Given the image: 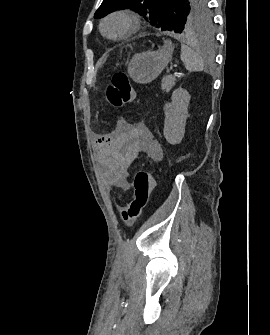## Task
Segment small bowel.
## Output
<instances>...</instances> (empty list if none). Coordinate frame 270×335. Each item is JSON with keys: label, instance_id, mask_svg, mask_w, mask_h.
<instances>
[{"label": "small bowel", "instance_id": "1", "mask_svg": "<svg viewBox=\"0 0 270 335\" xmlns=\"http://www.w3.org/2000/svg\"><path fill=\"white\" fill-rule=\"evenodd\" d=\"M94 146L98 153L101 178L109 186L128 189L130 166L141 152L160 161L162 148L152 140L150 132L141 123L119 121L112 133L97 135Z\"/></svg>", "mask_w": 270, "mask_h": 335}]
</instances>
